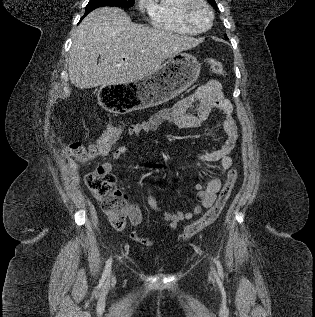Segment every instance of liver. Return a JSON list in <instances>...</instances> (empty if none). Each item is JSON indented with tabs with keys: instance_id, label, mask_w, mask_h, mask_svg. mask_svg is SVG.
Listing matches in <instances>:
<instances>
[{
	"instance_id": "liver-1",
	"label": "liver",
	"mask_w": 315,
	"mask_h": 317,
	"mask_svg": "<svg viewBox=\"0 0 315 317\" xmlns=\"http://www.w3.org/2000/svg\"><path fill=\"white\" fill-rule=\"evenodd\" d=\"M199 39L136 25L121 9L94 10L80 23L69 55V78L80 89L138 81ZM100 55L99 63L97 58Z\"/></svg>"
}]
</instances>
